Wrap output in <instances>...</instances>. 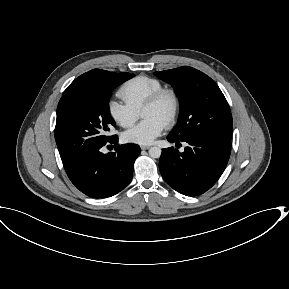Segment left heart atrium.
Masks as SVG:
<instances>
[{"label": "left heart atrium", "instance_id": "39dd6f15", "mask_svg": "<svg viewBox=\"0 0 289 289\" xmlns=\"http://www.w3.org/2000/svg\"><path fill=\"white\" fill-rule=\"evenodd\" d=\"M165 127V122L158 118H146L135 127L126 131L123 134V139L133 144L148 145L163 132Z\"/></svg>", "mask_w": 289, "mask_h": 289}]
</instances>
